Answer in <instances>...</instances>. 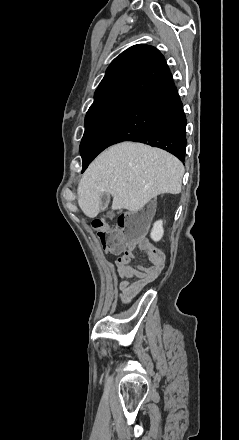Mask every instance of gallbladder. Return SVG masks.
I'll return each mask as SVG.
<instances>
[{
	"label": "gallbladder",
	"instance_id": "1",
	"mask_svg": "<svg viewBox=\"0 0 239 440\" xmlns=\"http://www.w3.org/2000/svg\"><path fill=\"white\" fill-rule=\"evenodd\" d=\"M110 202V194L108 192H103L100 196V202H99V208L101 212H104L106 210L108 204Z\"/></svg>",
	"mask_w": 239,
	"mask_h": 440
}]
</instances>
